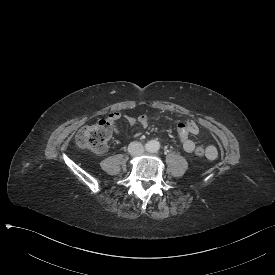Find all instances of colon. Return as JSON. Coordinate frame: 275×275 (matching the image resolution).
Listing matches in <instances>:
<instances>
[{
	"label": "colon",
	"instance_id": "5ec220e1",
	"mask_svg": "<svg viewBox=\"0 0 275 275\" xmlns=\"http://www.w3.org/2000/svg\"><path fill=\"white\" fill-rule=\"evenodd\" d=\"M114 122L115 115L109 114L106 121L84 126L76 135L75 141L77 147L89 151H104L112 135ZM205 152L204 147H198L195 150L198 156H203Z\"/></svg>",
	"mask_w": 275,
	"mask_h": 275
}]
</instances>
